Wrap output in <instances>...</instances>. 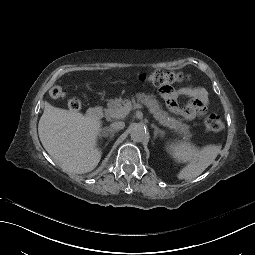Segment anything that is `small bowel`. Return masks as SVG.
<instances>
[{
	"label": "small bowel",
	"instance_id": "small-bowel-1",
	"mask_svg": "<svg viewBox=\"0 0 255 255\" xmlns=\"http://www.w3.org/2000/svg\"><path fill=\"white\" fill-rule=\"evenodd\" d=\"M166 93V92H165ZM181 95L189 97L191 100L185 108L176 105L171 107L173 112L180 113L186 119H194L203 114L208 103V93L202 87H184L179 90Z\"/></svg>",
	"mask_w": 255,
	"mask_h": 255
}]
</instances>
